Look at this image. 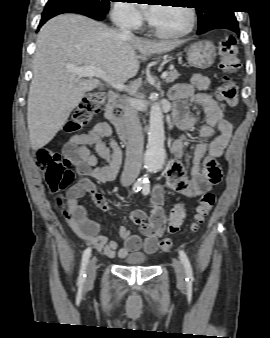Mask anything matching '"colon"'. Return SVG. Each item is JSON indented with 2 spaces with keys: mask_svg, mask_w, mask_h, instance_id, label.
<instances>
[{
  "mask_svg": "<svg viewBox=\"0 0 270 338\" xmlns=\"http://www.w3.org/2000/svg\"><path fill=\"white\" fill-rule=\"evenodd\" d=\"M238 45L234 36H226L220 41L221 69L225 72L224 83L220 97L229 105L237 104V89L230 74L240 69L238 58ZM105 103V95L101 92H93L84 97L75 109L71 119L66 123L68 132H73L85 126L97 114H99ZM35 163L44 173L48 188L53 193L65 190L73 181L74 173L70 168V161L62 160L60 155L53 150L41 147L34 152ZM205 169L219 173L220 168L215 160L205 163ZM215 203V195L206 193L200 199L193 218L192 229L195 231L203 224L205 218L212 210ZM185 218V211L182 204L173 207L169 214L168 232L176 233ZM161 249L168 252L173 247L172 239L164 237L160 241Z\"/></svg>",
  "mask_w": 270,
  "mask_h": 338,
  "instance_id": "5ec220e1",
  "label": "colon"
}]
</instances>
